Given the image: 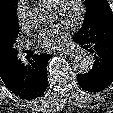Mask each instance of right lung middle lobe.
<instances>
[{"mask_svg":"<svg viewBox=\"0 0 113 113\" xmlns=\"http://www.w3.org/2000/svg\"><path fill=\"white\" fill-rule=\"evenodd\" d=\"M17 22H18L17 17H15V19L13 20L11 29H10V35H9V39H8L9 51L13 57H15L17 54V49L15 48L16 38L19 34V27H18Z\"/></svg>","mask_w":113,"mask_h":113,"instance_id":"right-lung-middle-lobe-1","label":"right lung middle lobe"}]
</instances>
